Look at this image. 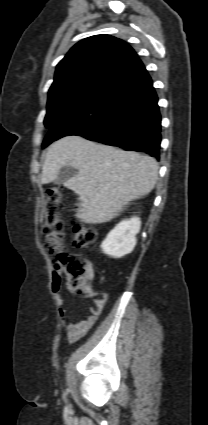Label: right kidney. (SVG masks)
<instances>
[{"label":"right kidney","instance_id":"right-kidney-1","mask_svg":"<svg viewBox=\"0 0 208 425\" xmlns=\"http://www.w3.org/2000/svg\"><path fill=\"white\" fill-rule=\"evenodd\" d=\"M141 228L139 217H132L118 223L102 242L101 248L105 254L121 258L131 253L136 245V235Z\"/></svg>","mask_w":208,"mask_h":425}]
</instances>
